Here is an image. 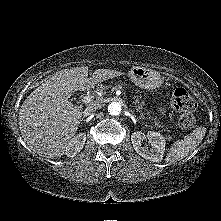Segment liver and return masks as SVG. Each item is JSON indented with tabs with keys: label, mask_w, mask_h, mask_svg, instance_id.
Segmentation results:
<instances>
[{
	"label": "liver",
	"mask_w": 221,
	"mask_h": 221,
	"mask_svg": "<svg viewBox=\"0 0 221 221\" xmlns=\"http://www.w3.org/2000/svg\"><path fill=\"white\" fill-rule=\"evenodd\" d=\"M120 75V71L97 69L88 77V67L82 66L59 71L45 80L19 110V129L25 143L49 159L63 156L83 113L81 105H73L68 99L76 91L89 90Z\"/></svg>",
	"instance_id": "obj_1"
}]
</instances>
